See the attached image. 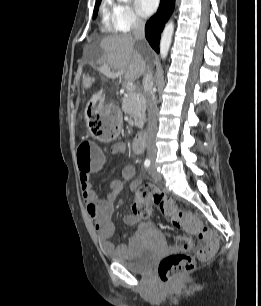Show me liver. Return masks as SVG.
I'll list each match as a JSON object with an SVG mask.
<instances>
[{
	"instance_id": "obj_1",
	"label": "liver",
	"mask_w": 261,
	"mask_h": 306,
	"mask_svg": "<svg viewBox=\"0 0 261 306\" xmlns=\"http://www.w3.org/2000/svg\"><path fill=\"white\" fill-rule=\"evenodd\" d=\"M135 44L136 39L130 34L107 36L99 43L104 52L99 62L108 69L125 71V80L132 82L146 69V61L134 48ZM94 82L95 78L83 75L82 84L85 89L90 88Z\"/></svg>"
}]
</instances>
